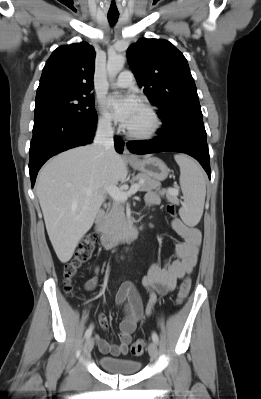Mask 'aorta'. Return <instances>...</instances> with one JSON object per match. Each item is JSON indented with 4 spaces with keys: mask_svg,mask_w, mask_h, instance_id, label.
<instances>
[{
    "mask_svg": "<svg viewBox=\"0 0 261 399\" xmlns=\"http://www.w3.org/2000/svg\"><path fill=\"white\" fill-rule=\"evenodd\" d=\"M126 61V57L122 54L114 55L108 57L107 61V74L113 79L117 76V74L123 69Z\"/></svg>",
    "mask_w": 261,
    "mask_h": 399,
    "instance_id": "aorta-1",
    "label": "aorta"
}]
</instances>
